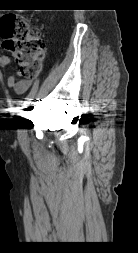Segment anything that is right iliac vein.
<instances>
[{"label":"right iliac vein","instance_id":"1","mask_svg":"<svg viewBox=\"0 0 138 253\" xmlns=\"http://www.w3.org/2000/svg\"><path fill=\"white\" fill-rule=\"evenodd\" d=\"M31 114H32V107H28V109L24 113L23 128L20 129L19 134V140L22 143H24L26 140V134L28 132V127L30 126Z\"/></svg>","mask_w":138,"mask_h":253}]
</instances>
